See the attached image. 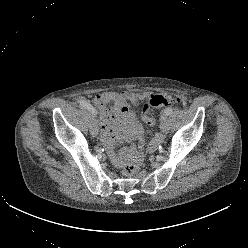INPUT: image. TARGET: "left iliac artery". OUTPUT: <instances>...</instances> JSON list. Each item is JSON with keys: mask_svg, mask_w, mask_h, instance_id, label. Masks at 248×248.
<instances>
[{"mask_svg": "<svg viewBox=\"0 0 248 248\" xmlns=\"http://www.w3.org/2000/svg\"><path fill=\"white\" fill-rule=\"evenodd\" d=\"M172 111H173V108H172V107H168V108H166V109L164 110V113H165L166 115H170V114L172 113Z\"/></svg>", "mask_w": 248, "mask_h": 248, "instance_id": "44dca946", "label": "left iliac artery"}]
</instances>
